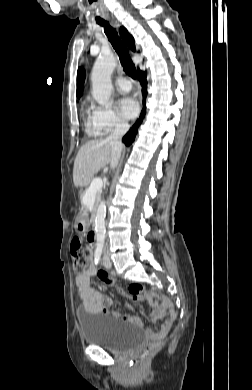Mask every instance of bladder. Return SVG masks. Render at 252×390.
<instances>
[{
    "mask_svg": "<svg viewBox=\"0 0 252 390\" xmlns=\"http://www.w3.org/2000/svg\"><path fill=\"white\" fill-rule=\"evenodd\" d=\"M78 321L84 342L113 351H126L136 347L144 338V331L135 324L92 316L78 312Z\"/></svg>",
    "mask_w": 252,
    "mask_h": 390,
    "instance_id": "31cf9c89",
    "label": "bladder"
}]
</instances>
